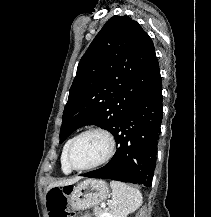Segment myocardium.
Wrapping results in <instances>:
<instances>
[{"label": "myocardium", "instance_id": "myocardium-1", "mask_svg": "<svg viewBox=\"0 0 211 217\" xmlns=\"http://www.w3.org/2000/svg\"><path fill=\"white\" fill-rule=\"evenodd\" d=\"M91 132H97V133H101L102 135H104L106 137V139L108 140V144H109V148L108 151L106 153V155L98 162L92 164V165H88V166H84V167H77L73 164L72 159H71V153L73 150V147L75 145V143L85 134L87 133H91ZM115 150H116V142L115 139L113 137V135L106 129L102 128V127H90L87 128L83 131H81L79 134H77L71 141V143L69 144L68 150H67V155H66V159H67V163L69 165V167L72 170H76V171H86V170H91V169H95L98 168L106 163H108L112 157L115 154Z\"/></svg>", "mask_w": 211, "mask_h": 217}]
</instances>
